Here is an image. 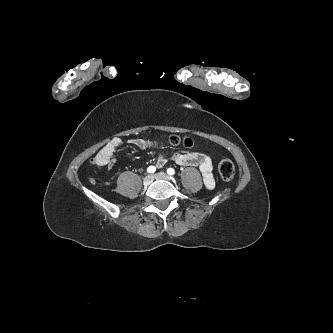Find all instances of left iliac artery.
<instances>
[{
    "mask_svg": "<svg viewBox=\"0 0 333 333\" xmlns=\"http://www.w3.org/2000/svg\"><path fill=\"white\" fill-rule=\"evenodd\" d=\"M167 173H168L169 175H174V174H175V170H174L173 168H168V169H167Z\"/></svg>",
    "mask_w": 333,
    "mask_h": 333,
    "instance_id": "1",
    "label": "left iliac artery"
}]
</instances>
